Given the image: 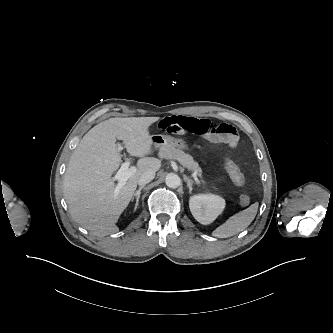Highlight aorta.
I'll list each match as a JSON object with an SVG mask.
<instances>
[{
  "instance_id": "1",
  "label": "aorta",
  "mask_w": 333,
  "mask_h": 333,
  "mask_svg": "<svg viewBox=\"0 0 333 333\" xmlns=\"http://www.w3.org/2000/svg\"><path fill=\"white\" fill-rule=\"evenodd\" d=\"M166 185L169 188H177L181 184V179L177 174L170 173L166 176Z\"/></svg>"
}]
</instances>
